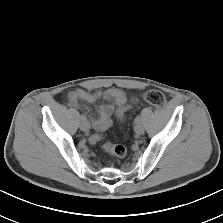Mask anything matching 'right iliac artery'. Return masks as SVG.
I'll list each match as a JSON object with an SVG mask.
<instances>
[{"label": "right iliac artery", "mask_w": 223, "mask_h": 223, "mask_svg": "<svg viewBox=\"0 0 223 223\" xmlns=\"http://www.w3.org/2000/svg\"><path fill=\"white\" fill-rule=\"evenodd\" d=\"M84 119H85V116L82 115V116H81V120H84Z\"/></svg>", "instance_id": "right-iliac-artery-1"}]
</instances>
